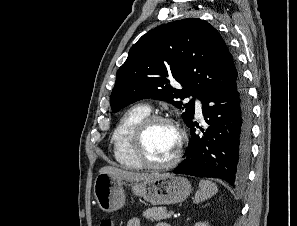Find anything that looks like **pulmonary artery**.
I'll return each mask as SVG.
<instances>
[{
    "instance_id": "pulmonary-artery-1",
    "label": "pulmonary artery",
    "mask_w": 297,
    "mask_h": 226,
    "mask_svg": "<svg viewBox=\"0 0 297 226\" xmlns=\"http://www.w3.org/2000/svg\"><path fill=\"white\" fill-rule=\"evenodd\" d=\"M195 107H196V114L198 117L202 116V107L200 101L196 100L195 101Z\"/></svg>"
}]
</instances>
